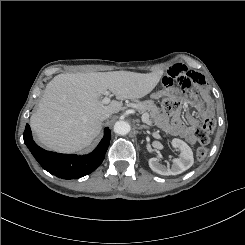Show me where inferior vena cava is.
Here are the masks:
<instances>
[{"label":"inferior vena cava","mask_w":245,"mask_h":245,"mask_svg":"<svg viewBox=\"0 0 245 245\" xmlns=\"http://www.w3.org/2000/svg\"><path fill=\"white\" fill-rule=\"evenodd\" d=\"M110 115L111 114H104V115H102L101 120H105V119L109 118Z\"/></svg>","instance_id":"602c4592"}]
</instances>
